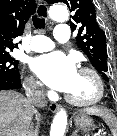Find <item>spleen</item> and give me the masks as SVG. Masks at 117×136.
<instances>
[{
  "label": "spleen",
  "instance_id": "obj_1",
  "mask_svg": "<svg viewBox=\"0 0 117 136\" xmlns=\"http://www.w3.org/2000/svg\"><path fill=\"white\" fill-rule=\"evenodd\" d=\"M85 112L89 115L100 116L110 128L112 135L117 136V118L115 115L106 109H100L97 107L86 108Z\"/></svg>",
  "mask_w": 117,
  "mask_h": 136
}]
</instances>
